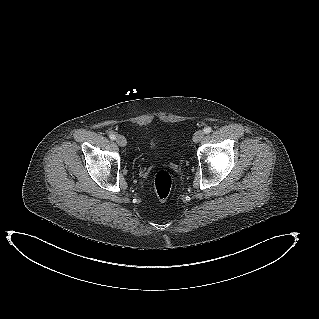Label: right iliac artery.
Listing matches in <instances>:
<instances>
[{"mask_svg":"<svg viewBox=\"0 0 319 319\" xmlns=\"http://www.w3.org/2000/svg\"><path fill=\"white\" fill-rule=\"evenodd\" d=\"M109 138H110L111 140H115V139H116V136H115L114 134H110V135H109Z\"/></svg>","mask_w":319,"mask_h":319,"instance_id":"obj_1","label":"right iliac artery"}]
</instances>
